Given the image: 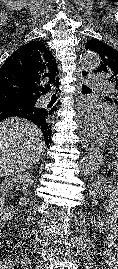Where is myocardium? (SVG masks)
Listing matches in <instances>:
<instances>
[{
	"label": "myocardium",
	"instance_id": "f54148a6",
	"mask_svg": "<svg viewBox=\"0 0 118 269\" xmlns=\"http://www.w3.org/2000/svg\"><path fill=\"white\" fill-rule=\"evenodd\" d=\"M113 122H114V125L118 126V113L114 114ZM112 139L118 144V127L117 129L113 128Z\"/></svg>",
	"mask_w": 118,
	"mask_h": 269
}]
</instances>
